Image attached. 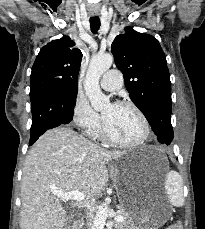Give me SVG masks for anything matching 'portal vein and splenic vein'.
<instances>
[{
    "label": "portal vein and splenic vein",
    "mask_w": 205,
    "mask_h": 229,
    "mask_svg": "<svg viewBox=\"0 0 205 229\" xmlns=\"http://www.w3.org/2000/svg\"><path fill=\"white\" fill-rule=\"evenodd\" d=\"M53 194L64 201H68V200L83 201L85 199V195L83 194V192L80 191L62 192V191L54 190ZM123 219H124L123 216L115 217V221H120Z\"/></svg>",
    "instance_id": "obj_1"
}]
</instances>
